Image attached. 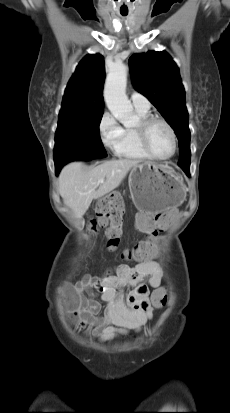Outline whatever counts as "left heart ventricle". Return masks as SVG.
<instances>
[{"label": "left heart ventricle", "instance_id": "b2bd125f", "mask_svg": "<svg viewBox=\"0 0 230 413\" xmlns=\"http://www.w3.org/2000/svg\"><path fill=\"white\" fill-rule=\"evenodd\" d=\"M148 143L151 150L158 156H168L173 148L171 134L168 128L160 123H153L148 129Z\"/></svg>", "mask_w": 230, "mask_h": 413}]
</instances>
